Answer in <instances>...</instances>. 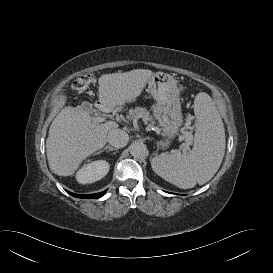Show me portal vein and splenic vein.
<instances>
[{
  "label": "portal vein and splenic vein",
  "instance_id": "18ae733b",
  "mask_svg": "<svg viewBox=\"0 0 273 273\" xmlns=\"http://www.w3.org/2000/svg\"><path fill=\"white\" fill-rule=\"evenodd\" d=\"M94 120L96 121V122H104L105 121V118L104 117H101V116H99V117H96V118H94ZM106 122H110V123H112V121H106ZM183 146H188V144H186V145H183Z\"/></svg>",
  "mask_w": 273,
  "mask_h": 273
}]
</instances>
